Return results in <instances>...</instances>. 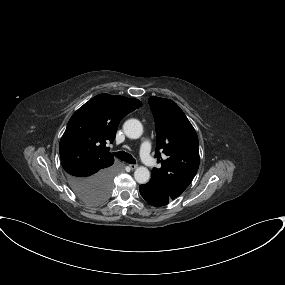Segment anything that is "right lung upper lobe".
I'll use <instances>...</instances> for the list:
<instances>
[{"mask_svg": "<svg viewBox=\"0 0 285 285\" xmlns=\"http://www.w3.org/2000/svg\"><path fill=\"white\" fill-rule=\"evenodd\" d=\"M141 105L138 99L100 94L80 107L70 118L60 141L64 170L113 164L106 144L113 143L121 119Z\"/></svg>", "mask_w": 285, "mask_h": 285, "instance_id": "1", "label": "right lung upper lobe"}]
</instances>
